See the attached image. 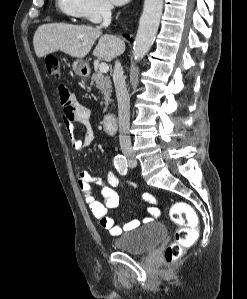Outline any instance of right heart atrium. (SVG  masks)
<instances>
[{
    "mask_svg": "<svg viewBox=\"0 0 247 299\" xmlns=\"http://www.w3.org/2000/svg\"><path fill=\"white\" fill-rule=\"evenodd\" d=\"M78 17L91 23H97L111 14L109 0H78Z\"/></svg>",
    "mask_w": 247,
    "mask_h": 299,
    "instance_id": "right-heart-atrium-1",
    "label": "right heart atrium"
}]
</instances>
